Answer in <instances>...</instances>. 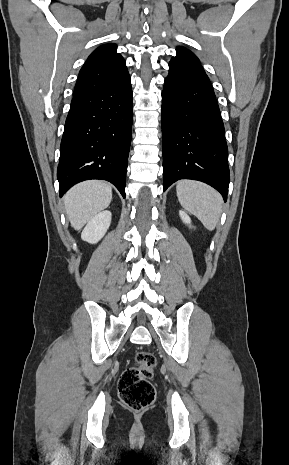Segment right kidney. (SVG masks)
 <instances>
[{
  "instance_id": "right-kidney-1",
  "label": "right kidney",
  "mask_w": 289,
  "mask_h": 465,
  "mask_svg": "<svg viewBox=\"0 0 289 465\" xmlns=\"http://www.w3.org/2000/svg\"><path fill=\"white\" fill-rule=\"evenodd\" d=\"M111 212L102 211L94 216L82 231V240L91 244L97 243L107 232L111 223Z\"/></svg>"
}]
</instances>
